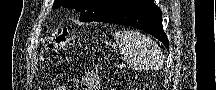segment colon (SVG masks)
<instances>
[{
    "mask_svg": "<svg viewBox=\"0 0 216 90\" xmlns=\"http://www.w3.org/2000/svg\"><path fill=\"white\" fill-rule=\"evenodd\" d=\"M72 43V36L68 31L61 32L57 38L48 45V49H63Z\"/></svg>",
    "mask_w": 216,
    "mask_h": 90,
    "instance_id": "5ec220e1",
    "label": "colon"
}]
</instances>
